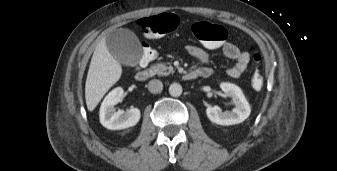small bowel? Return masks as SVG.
I'll use <instances>...</instances> for the list:
<instances>
[{"instance_id":"1","label":"small bowel","mask_w":337,"mask_h":171,"mask_svg":"<svg viewBox=\"0 0 337 171\" xmlns=\"http://www.w3.org/2000/svg\"><path fill=\"white\" fill-rule=\"evenodd\" d=\"M211 49H220L226 58L234 61V65L227 70V74L232 78H239L245 72L250 62V54L246 51H241L234 43L226 42L219 46H211ZM186 50L201 63L207 64L209 62V54L204 48L196 45H189ZM201 68L211 70L207 66Z\"/></svg>"}]
</instances>
